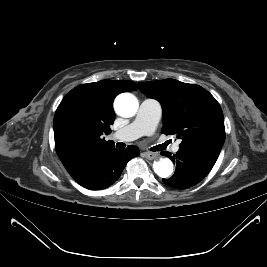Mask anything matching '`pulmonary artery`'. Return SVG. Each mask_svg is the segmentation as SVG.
Returning a JSON list of instances; mask_svg holds the SVG:
<instances>
[{
  "mask_svg": "<svg viewBox=\"0 0 267 267\" xmlns=\"http://www.w3.org/2000/svg\"><path fill=\"white\" fill-rule=\"evenodd\" d=\"M162 107L153 99H145L140 104L135 119L126 127L114 133L113 137L120 141H132L144 135H151L161 118ZM179 150V143L172 146V151Z\"/></svg>",
  "mask_w": 267,
  "mask_h": 267,
  "instance_id": "1",
  "label": "pulmonary artery"
}]
</instances>
